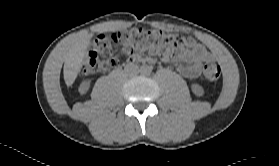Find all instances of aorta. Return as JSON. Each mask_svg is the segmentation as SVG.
I'll use <instances>...</instances> for the list:
<instances>
[{"label": "aorta", "instance_id": "1", "mask_svg": "<svg viewBox=\"0 0 279 166\" xmlns=\"http://www.w3.org/2000/svg\"><path fill=\"white\" fill-rule=\"evenodd\" d=\"M141 72L145 75H149L151 73V68L149 66H143Z\"/></svg>", "mask_w": 279, "mask_h": 166}]
</instances>
